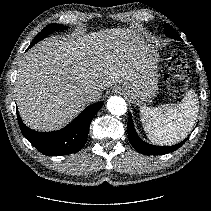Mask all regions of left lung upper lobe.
<instances>
[{
    "label": "left lung upper lobe",
    "instance_id": "1",
    "mask_svg": "<svg viewBox=\"0 0 211 211\" xmlns=\"http://www.w3.org/2000/svg\"><path fill=\"white\" fill-rule=\"evenodd\" d=\"M164 30L168 37L180 40V36L177 34V32L167 23L164 24Z\"/></svg>",
    "mask_w": 211,
    "mask_h": 211
}]
</instances>
